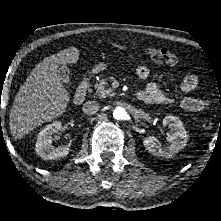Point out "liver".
<instances>
[{
    "label": "liver",
    "instance_id": "liver-1",
    "mask_svg": "<svg viewBox=\"0 0 221 221\" xmlns=\"http://www.w3.org/2000/svg\"><path fill=\"white\" fill-rule=\"evenodd\" d=\"M79 59L76 47L46 57L33 69L15 96L9 115L10 132L22 139L36 127L62 115L69 102V93L62 85L59 67L75 64Z\"/></svg>",
    "mask_w": 221,
    "mask_h": 221
}]
</instances>
